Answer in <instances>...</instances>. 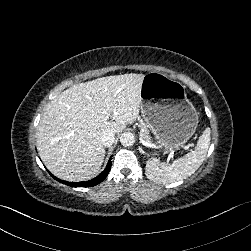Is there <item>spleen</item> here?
<instances>
[{
  "label": "spleen",
  "mask_w": 251,
  "mask_h": 251,
  "mask_svg": "<svg viewBox=\"0 0 251 251\" xmlns=\"http://www.w3.org/2000/svg\"><path fill=\"white\" fill-rule=\"evenodd\" d=\"M210 128L199 137L194 150L179 157L170 166L160 164L158 158H151L146 164V176L157 183H169L191 176L202 164L210 144Z\"/></svg>",
  "instance_id": "1"
}]
</instances>
